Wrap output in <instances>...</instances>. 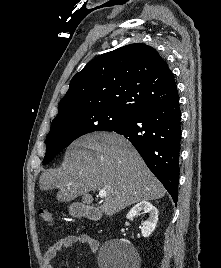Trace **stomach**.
<instances>
[{
	"instance_id": "obj_1",
	"label": "stomach",
	"mask_w": 221,
	"mask_h": 268,
	"mask_svg": "<svg viewBox=\"0 0 221 268\" xmlns=\"http://www.w3.org/2000/svg\"><path fill=\"white\" fill-rule=\"evenodd\" d=\"M69 212L72 216H75V217H80L84 214V210L78 209L76 205H71L69 207Z\"/></svg>"
}]
</instances>
